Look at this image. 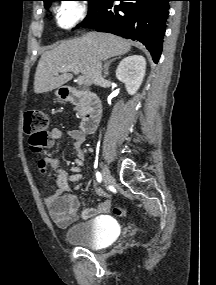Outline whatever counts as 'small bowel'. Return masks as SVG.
<instances>
[{"instance_id": "small-bowel-1", "label": "small bowel", "mask_w": 216, "mask_h": 285, "mask_svg": "<svg viewBox=\"0 0 216 285\" xmlns=\"http://www.w3.org/2000/svg\"><path fill=\"white\" fill-rule=\"evenodd\" d=\"M49 140L46 147L50 148L60 140L64 132L62 129L54 128L49 132ZM68 135L73 140V148L75 153L74 167L72 176H68L58 165L54 158H43L38 163V170L41 174H45L48 167L51 166L56 172V186L57 189L54 193L44 197V204L48 210L50 218L59 227H67L77 220L79 201L78 198L71 191V182L81 180L82 176L79 173L80 167L85 160V152L82 145L86 140L85 133L79 129H70ZM110 200L105 199L96 207L87 208L81 211V219H89L101 213H106L110 209Z\"/></svg>"}]
</instances>
